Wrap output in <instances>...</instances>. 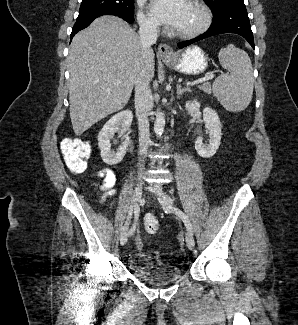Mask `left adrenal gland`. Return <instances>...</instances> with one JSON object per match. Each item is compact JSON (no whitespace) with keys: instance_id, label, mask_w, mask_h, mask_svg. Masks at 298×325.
Wrapping results in <instances>:
<instances>
[{"instance_id":"1","label":"left adrenal gland","mask_w":298,"mask_h":325,"mask_svg":"<svg viewBox=\"0 0 298 325\" xmlns=\"http://www.w3.org/2000/svg\"><path fill=\"white\" fill-rule=\"evenodd\" d=\"M177 88V98H181V94H184V92H192L190 86H185V88H182L181 84H176Z\"/></svg>"}]
</instances>
